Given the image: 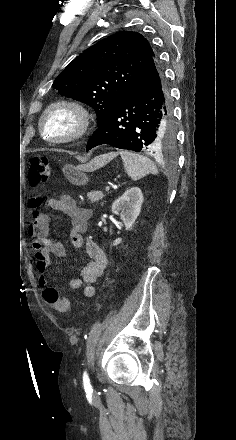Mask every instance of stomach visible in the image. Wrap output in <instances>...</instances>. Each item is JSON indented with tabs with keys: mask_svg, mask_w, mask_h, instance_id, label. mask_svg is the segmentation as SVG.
<instances>
[{
	"mask_svg": "<svg viewBox=\"0 0 236 440\" xmlns=\"http://www.w3.org/2000/svg\"><path fill=\"white\" fill-rule=\"evenodd\" d=\"M112 156H115V154H113ZM95 162L96 161L93 160L88 165L83 166H73L66 164L62 167V172L65 175L66 179L73 185H85L89 181V177L86 172L93 171L98 167Z\"/></svg>",
	"mask_w": 236,
	"mask_h": 440,
	"instance_id": "1",
	"label": "stomach"
}]
</instances>
